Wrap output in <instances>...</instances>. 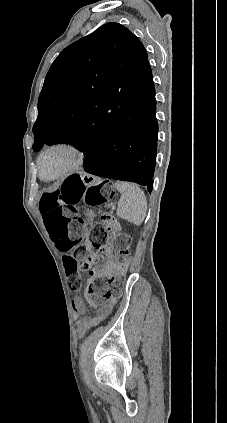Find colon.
Masks as SVG:
<instances>
[{
    "label": "colon",
    "instance_id": "colon-1",
    "mask_svg": "<svg viewBox=\"0 0 227 423\" xmlns=\"http://www.w3.org/2000/svg\"><path fill=\"white\" fill-rule=\"evenodd\" d=\"M114 196L111 186L105 182H92L80 175L67 178L59 188L45 191L40 199L39 209L46 229L60 252L64 254L63 264L72 291H78L82 284V273L88 272L86 297L95 308L104 306L111 298L118 297L123 288V274L103 278L91 270L94 254L82 251L73 254L75 246L84 235V223L78 214L77 205L81 200L90 206H97ZM116 228L112 214L104 213L90 233L93 251L104 249L108 244V232ZM113 259L127 267L131 259L129 239L118 233L112 243Z\"/></svg>",
    "mask_w": 227,
    "mask_h": 423
}]
</instances>
